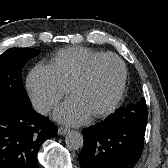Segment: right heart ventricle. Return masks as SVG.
I'll use <instances>...</instances> for the list:
<instances>
[{
    "label": "right heart ventricle",
    "mask_w": 168,
    "mask_h": 168,
    "mask_svg": "<svg viewBox=\"0 0 168 168\" xmlns=\"http://www.w3.org/2000/svg\"><path fill=\"white\" fill-rule=\"evenodd\" d=\"M102 54L104 53L86 47L66 48L55 54L52 65L63 83L70 87L87 64Z\"/></svg>",
    "instance_id": "right-heart-ventricle-1"
}]
</instances>
